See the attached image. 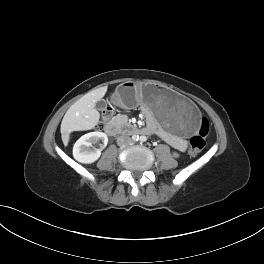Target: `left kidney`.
<instances>
[{"label":"left kidney","mask_w":264,"mask_h":264,"mask_svg":"<svg viewBox=\"0 0 264 264\" xmlns=\"http://www.w3.org/2000/svg\"><path fill=\"white\" fill-rule=\"evenodd\" d=\"M173 155H174V157H178V154L177 153H174Z\"/></svg>","instance_id":"left-kidney-1"}]
</instances>
